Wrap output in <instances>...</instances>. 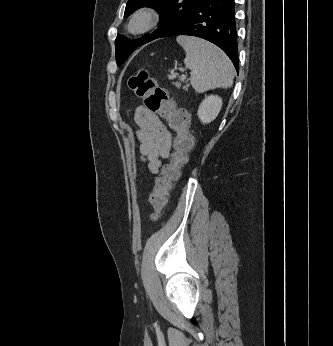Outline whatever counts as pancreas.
<instances>
[{"mask_svg":"<svg viewBox=\"0 0 333 346\" xmlns=\"http://www.w3.org/2000/svg\"><path fill=\"white\" fill-rule=\"evenodd\" d=\"M179 80L182 81V82H187V79H186L185 76L180 77ZM185 87L188 88L189 84H187Z\"/></svg>","mask_w":333,"mask_h":346,"instance_id":"pancreas-1","label":"pancreas"}]
</instances>
